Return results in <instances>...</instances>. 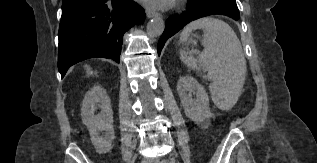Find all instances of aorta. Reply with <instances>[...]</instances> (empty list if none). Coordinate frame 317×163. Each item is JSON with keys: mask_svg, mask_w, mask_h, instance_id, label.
<instances>
[{"mask_svg": "<svg viewBox=\"0 0 317 163\" xmlns=\"http://www.w3.org/2000/svg\"><path fill=\"white\" fill-rule=\"evenodd\" d=\"M165 29V22L160 16L152 18L147 24V31L150 36L158 37L161 36Z\"/></svg>", "mask_w": 317, "mask_h": 163, "instance_id": "obj_1", "label": "aorta"}]
</instances>
